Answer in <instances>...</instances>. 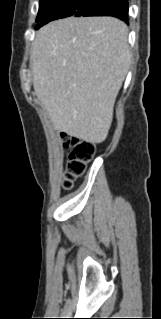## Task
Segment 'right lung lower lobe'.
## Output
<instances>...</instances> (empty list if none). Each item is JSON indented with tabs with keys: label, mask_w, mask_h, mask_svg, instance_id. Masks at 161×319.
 <instances>
[{
	"label": "right lung lower lobe",
	"mask_w": 161,
	"mask_h": 319,
	"mask_svg": "<svg viewBox=\"0 0 161 319\" xmlns=\"http://www.w3.org/2000/svg\"><path fill=\"white\" fill-rule=\"evenodd\" d=\"M81 16H113L128 24V0H96Z\"/></svg>",
	"instance_id": "1"
}]
</instances>
